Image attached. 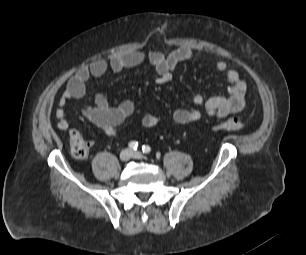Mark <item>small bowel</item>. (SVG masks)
I'll return each instance as SVG.
<instances>
[{"mask_svg":"<svg viewBox=\"0 0 306 255\" xmlns=\"http://www.w3.org/2000/svg\"><path fill=\"white\" fill-rule=\"evenodd\" d=\"M193 57V52L188 47H179L164 54L159 51H128L112 55L108 60L97 59L88 66H83L69 79L67 86L61 94L56 110L57 128L65 130L68 128L65 107L71 99H82L86 94V83L91 77H101L109 69L119 72L121 70L146 64L155 72V83L164 84L173 77L176 67ZM217 73L225 76L228 84L226 95H215L205 97L196 94L192 97V104L201 107L210 116L225 118L231 114L240 112L246 104L247 86L239 73L229 69L224 60H218L214 64ZM135 105L131 100H124L116 106H110L107 98L97 94L92 103L82 107L83 116L93 125L101 129L107 136L113 137L117 134V126L122 124L134 112ZM202 112L198 108L177 109L173 113V120L178 124H189L198 122ZM159 123V118L153 114H146L142 118L145 128H152Z\"/></svg>","mask_w":306,"mask_h":255,"instance_id":"1","label":"small bowel"}]
</instances>
